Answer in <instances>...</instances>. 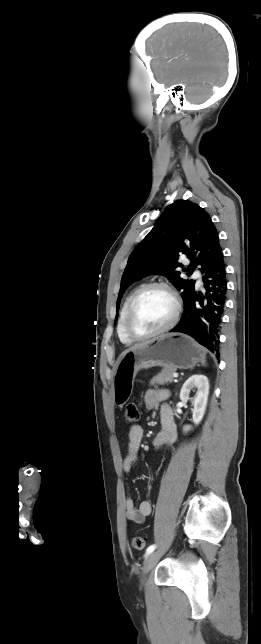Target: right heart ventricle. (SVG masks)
Segmentation results:
<instances>
[{"label":"right heart ventricle","instance_id":"1","mask_svg":"<svg viewBox=\"0 0 261 644\" xmlns=\"http://www.w3.org/2000/svg\"><path fill=\"white\" fill-rule=\"evenodd\" d=\"M137 288H133L126 296L121 311H120V316L118 320V325H117V334L120 339V341L125 344V345H131L134 341L131 340L125 333L124 331V318L126 314V310L128 307V304L130 302V299L132 298L133 294L136 292Z\"/></svg>","mask_w":261,"mask_h":644}]
</instances>
